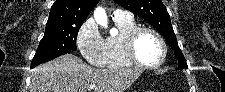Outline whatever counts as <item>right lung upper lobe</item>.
Masks as SVG:
<instances>
[{"instance_id":"obj_1","label":"right lung upper lobe","mask_w":225,"mask_h":92,"mask_svg":"<svg viewBox=\"0 0 225 92\" xmlns=\"http://www.w3.org/2000/svg\"><path fill=\"white\" fill-rule=\"evenodd\" d=\"M99 0H56L46 25L85 20Z\"/></svg>"}]
</instances>
